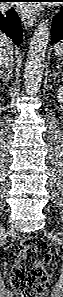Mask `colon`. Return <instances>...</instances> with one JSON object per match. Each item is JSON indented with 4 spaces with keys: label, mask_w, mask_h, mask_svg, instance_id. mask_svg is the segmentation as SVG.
Returning a JSON list of instances; mask_svg holds the SVG:
<instances>
[{
    "label": "colon",
    "mask_w": 63,
    "mask_h": 297,
    "mask_svg": "<svg viewBox=\"0 0 63 297\" xmlns=\"http://www.w3.org/2000/svg\"><path fill=\"white\" fill-rule=\"evenodd\" d=\"M49 261L50 251L44 240L34 236L23 239L12 276L16 291L24 297H42L48 284L45 267Z\"/></svg>",
    "instance_id": "1"
}]
</instances>
